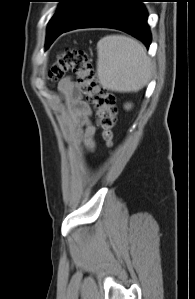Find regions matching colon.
Wrapping results in <instances>:
<instances>
[{
	"mask_svg": "<svg viewBox=\"0 0 195 299\" xmlns=\"http://www.w3.org/2000/svg\"><path fill=\"white\" fill-rule=\"evenodd\" d=\"M69 72L76 75L84 96L95 109L102 139L111 145L118 114L115 96L100 86L84 50L66 49L58 54L50 68L49 79L60 80Z\"/></svg>",
	"mask_w": 195,
	"mask_h": 299,
	"instance_id": "colon-1",
	"label": "colon"
}]
</instances>
